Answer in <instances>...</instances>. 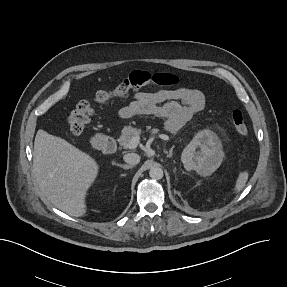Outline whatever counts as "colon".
<instances>
[{
  "label": "colon",
  "instance_id": "obj_1",
  "mask_svg": "<svg viewBox=\"0 0 287 287\" xmlns=\"http://www.w3.org/2000/svg\"><path fill=\"white\" fill-rule=\"evenodd\" d=\"M178 81V77L171 73H151L142 70L133 71L114 89L109 91L100 90L96 92L92 100H81L78 102L67 119L69 133L74 139L83 133L93 115L94 104L104 105L114 98H127L133 92L147 85L172 87L175 86ZM231 120L235 131L239 135H247L248 128L240 110H233Z\"/></svg>",
  "mask_w": 287,
  "mask_h": 287
}]
</instances>
